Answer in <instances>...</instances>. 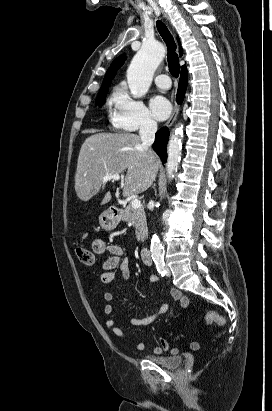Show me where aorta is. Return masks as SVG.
<instances>
[{
    "instance_id": "1",
    "label": "aorta",
    "mask_w": 272,
    "mask_h": 411,
    "mask_svg": "<svg viewBox=\"0 0 272 411\" xmlns=\"http://www.w3.org/2000/svg\"><path fill=\"white\" fill-rule=\"evenodd\" d=\"M165 50L162 44H144L133 57L127 70V81L131 94L135 98L144 96L153 79V75L158 65L162 62ZM182 129L176 128L167 147V177L171 180L181 158L182 150ZM150 251L153 261H162L164 250L157 234H153L151 239Z\"/></svg>"
}]
</instances>
